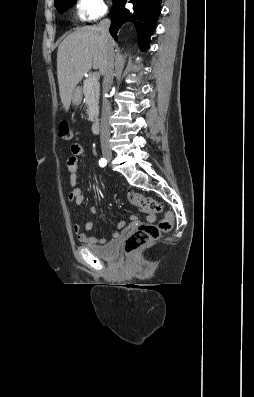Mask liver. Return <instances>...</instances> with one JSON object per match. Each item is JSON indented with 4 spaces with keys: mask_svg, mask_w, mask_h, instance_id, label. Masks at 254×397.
Masks as SVG:
<instances>
[{
    "mask_svg": "<svg viewBox=\"0 0 254 397\" xmlns=\"http://www.w3.org/2000/svg\"><path fill=\"white\" fill-rule=\"evenodd\" d=\"M114 47V43L112 41ZM107 48L100 27L86 26L68 35L57 50V78L64 110L68 111L72 92L84 74L99 69L103 74Z\"/></svg>",
    "mask_w": 254,
    "mask_h": 397,
    "instance_id": "liver-1",
    "label": "liver"
}]
</instances>
